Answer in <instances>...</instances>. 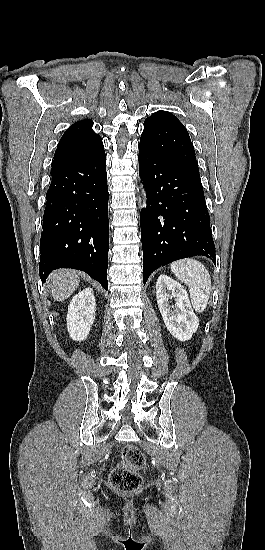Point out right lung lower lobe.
Masks as SVG:
<instances>
[{
	"label": "right lung lower lobe",
	"instance_id": "98d812e1",
	"mask_svg": "<svg viewBox=\"0 0 265 550\" xmlns=\"http://www.w3.org/2000/svg\"><path fill=\"white\" fill-rule=\"evenodd\" d=\"M40 240L39 274L51 270L86 272L108 290L109 249L106 155L52 166Z\"/></svg>",
	"mask_w": 265,
	"mask_h": 550
}]
</instances>
